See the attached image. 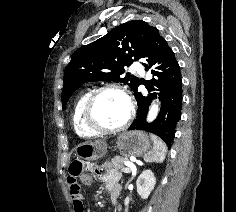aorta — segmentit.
I'll list each match as a JSON object with an SVG mask.
<instances>
[{"instance_id":"1","label":"aorta","mask_w":236,"mask_h":212,"mask_svg":"<svg viewBox=\"0 0 236 212\" xmlns=\"http://www.w3.org/2000/svg\"><path fill=\"white\" fill-rule=\"evenodd\" d=\"M158 110H159L158 105L153 103L152 106L150 107V110L147 116V121L149 122L153 121L158 114Z\"/></svg>"}]
</instances>
